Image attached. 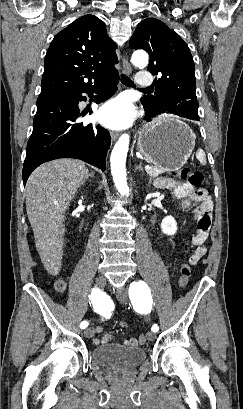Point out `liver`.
I'll use <instances>...</instances> for the list:
<instances>
[{"instance_id": "1", "label": "liver", "mask_w": 243, "mask_h": 409, "mask_svg": "<svg viewBox=\"0 0 243 409\" xmlns=\"http://www.w3.org/2000/svg\"><path fill=\"white\" fill-rule=\"evenodd\" d=\"M88 174L82 161L58 159L40 165L26 183L27 216L37 251L50 275L61 270L64 214Z\"/></svg>"}]
</instances>
